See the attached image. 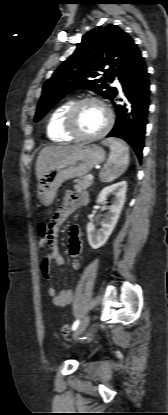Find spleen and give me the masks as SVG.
<instances>
[{
  "label": "spleen",
  "mask_w": 168,
  "mask_h": 415,
  "mask_svg": "<svg viewBox=\"0 0 168 415\" xmlns=\"http://www.w3.org/2000/svg\"><path fill=\"white\" fill-rule=\"evenodd\" d=\"M102 144L110 147V155L99 177L101 182L109 183L126 171L129 165V148L125 142L116 138H107Z\"/></svg>",
  "instance_id": "spleen-1"
}]
</instances>
